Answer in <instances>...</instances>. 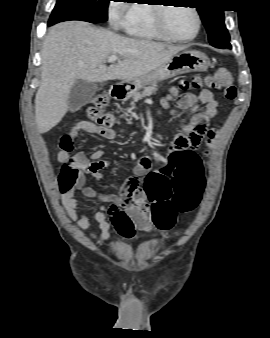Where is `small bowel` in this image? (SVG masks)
Wrapping results in <instances>:
<instances>
[{"label":"small bowel","instance_id":"obj_1","mask_svg":"<svg viewBox=\"0 0 270 338\" xmlns=\"http://www.w3.org/2000/svg\"><path fill=\"white\" fill-rule=\"evenodd\" d=\"M199 99L203 105L199 118L207 122L217 114V102L213 94L207 89H203L200 92ZM192 100L193 96L191 94L184 93L177 96L174 103L180 109L191 108L193 111H196L197 107L192 105ZM197 120H193L188 126L184 135V144L170 147V160L155 172L146 173V177H144V167L148 165L149 161L146 158L138 159V163L134 167V175L123 184L118 196L99 193L86 185V173H89L95 180L102 178L101 170L107 166V161L102 159L104 154L103 149H96L89 156L83 151H79L74 155L71 154L73 148L72 142L81 133L96 135L103 139H114V131L111 128H106L90 121L76 123L60 139V145H69L71 149H61L58 154L60 161L75 165L81 171L75 184L71 188L61 192V203L70 220L76 222L78 228L83 231L88 229L91 224L90 218L86 214L78 215L77 213L79 206L74 195L77 191H80L84 197L96 200L99 204V209L94 215V220L97 222L100 232L98 235H90V238L96 240L99 244H103L111 238L112 226L121 236L127 239L133 237L132 231H129L126 227H119L109 220L119 208L125 210L131 222L138 229L150 231L152 223L149 221L147 214L141 211L132 201V194L136 189L137 180L144 178L145 184L152 188L157 195V202L172 204L171 195L175 184L187 185L195 172L201 170L200 159L194 150L195 146L191 140V133L197 125ZM211 138H213V135ZM176 216L177 213L174 214L170 225L157 226L163 230L171 228L175 223Z\"/></svg>","mask_w":270,"mask_h":338}]
</instances>
